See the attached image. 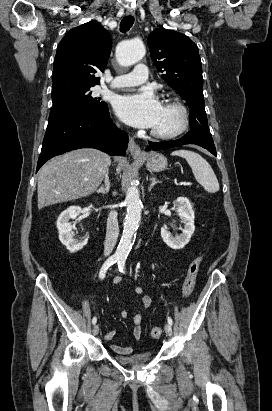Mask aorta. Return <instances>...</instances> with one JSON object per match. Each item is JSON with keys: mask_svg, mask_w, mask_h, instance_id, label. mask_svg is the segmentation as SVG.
I'll return each mask as SVG.
<instances>
[{"mask_svg": "<svg viewBox=\"0 0 272 411\" xmlns=\"http://www.w3.org/2000/svg\"><path fill=\"white\" fill-rule=\"evenodd\" d=\"M145 55V46L139 40L122 42L116 48V59L122 66H130L140 61ZM127 207L123 226V233L114 254L117 261H125L134 242L135 233L141 221L142 202L140 193L135 185H131L126 192Z\"/></svg>", "mask_w": 272, "mask_h": 411, "instance_id": "aorta-1", "label": "aorta"}]
</instances>
